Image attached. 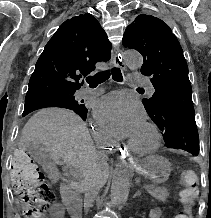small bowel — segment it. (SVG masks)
<instances>
[{
    "instance_id": "1",
    "label": "small bowel",
    "mask_w": 211,
    "mask_h": 218,
    "mask_svg": "<svg viewBox=\"0 0 211 218\" xmlns=\"http://www.w3.org/2000/svg\"><path fill=\"white\" fill-rule=\"evenodd\" d=\"M162 217V211L160 208H153L150 211V218H161Z\"/></svg>"
}]
</instances>
